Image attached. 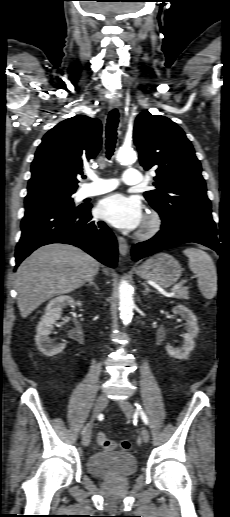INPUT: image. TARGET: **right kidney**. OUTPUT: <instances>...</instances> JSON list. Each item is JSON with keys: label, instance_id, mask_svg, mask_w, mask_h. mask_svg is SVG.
<instances>
[{"label": "right kidney", "instance_id": "ca27d5eb", "mask_svg": "<svg viewBox=\"0 0 230 517\" xmlns=\"http://www.w3.org/2000/svg\"><path fill=\"white\" fill-rule=\"evenodd\" d=\"M67 305L82 306L81 301H74L70 296H59L51 300L46 306L45 313L42 316L38 326L35 342L38 349L46 356H54L62 352L66 344H55L49 335L52 332L55 321L61 317L62 309Z\"/></svg>", "mask_w": 230, "mask_h": 517}]
</instances>
